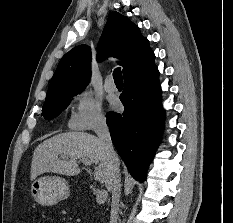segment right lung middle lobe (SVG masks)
Masks as SVG:
<instances>
[{"label": "right lung middle lobe", "instance_id": "obj_1", "mask_svg": "<svg viewBox=\"0 0 233 223\" xmlns=\"http://www.w3.org/2000/svg\"><path fill=\"white\" fill-rule=\"evenodd\" d=\"M79 93L80 92L67 96L56 103L43 105L42 115L45 119H53L54 117L58 116L62 112V110H64L69 105L71 96H75Z\"/></svg>", "mask_w": 233, "mask_h": 223}]
</instances>
